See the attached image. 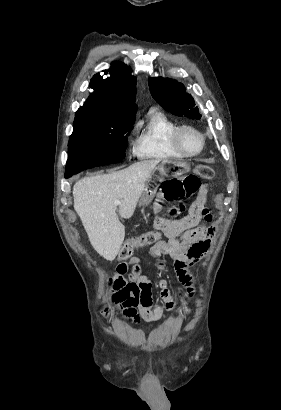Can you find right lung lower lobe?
Returning a JSON list of instances; mask_svg holds the SVG:
<instances>
[{
    "label": "right lung lower lobe",
    "instance_id": "1",
    "mask_svg": "<svg viewBox=\"0 0 281 410\" xmlns=\"http://www.w3.org/2000/svg\"><path fill=\"white\" fill-rule=\"evenodd\" d=\"M72 174H65V178H69Z\"/></svg>",
    "mask_w": 281,
    "mask_h": 410
}]
</instances>
